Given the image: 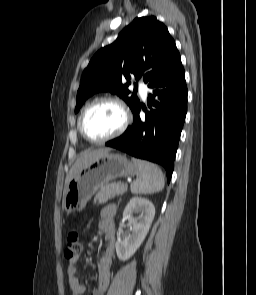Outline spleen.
Returning <instances> with one entry per match:
<instances>
[{"mask_svg":"<svg viewBox=\"0 0 256 295\" xmlns=\"http://www.w3.org/2000/svg\"><path fill=\"white\" fill-rule=\"evenodd\" d=\"M132 160L138 169V177L130 186L133 194H152L164 188V175L157 165L135 158Z\"/></svg>","mask_w":256,"mask_h":295,"instance_id":"spleen-1","label":"spleen"}]
</instances>
